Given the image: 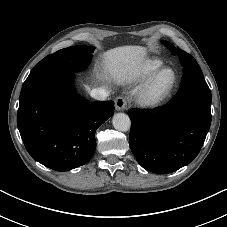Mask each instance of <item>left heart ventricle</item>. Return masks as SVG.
<instances>
[{"label": "left heart ventricle", "mask_w": 227, "mask_h": 227, "mask_svg": "<svg viewBox=\"0 0 227 227\" xmlns=\"http://www.w3.org/2000/svg\"><path fill=\"white\" fill-rule=\"evenodd\" d=\"M171 80H172V74L170 72H166L160 77L158 86L165 87L171 82Z\"/></svg>", "instance_id": "b2bd125f"}]
</instances>
